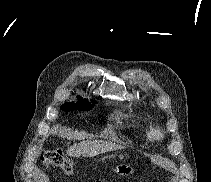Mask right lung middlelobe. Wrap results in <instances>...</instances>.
Returning a JSON list of instances; mask_svg holds the SVG:
<instances>
[{
	"mask_svg": "<svg viewBox=\"0 0 211 182\" xmlns=\"http://www.w3.org/2000/svg\"><path fill=\"white\" fill-rule=\"evenodd\" d=\"M77 98H78L77 103H74V102L65 103L61 106V109L68 112V111H73V110L88 111L91 108H93V105L87 99H83L80 96H77Z\"/></svg>",
	"mask_w": 211,
	"mask_h": 182,
	"instance_id": "dd1d6c3e",
	"label": "right lung middle lobe"
}]
</instances>
